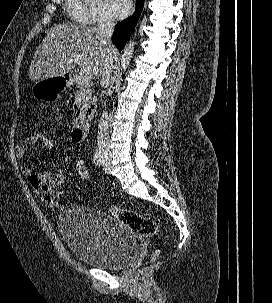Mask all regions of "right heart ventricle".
I'll return each mask as SVG.
<instances>
[{"label": "right heart ventricle", "mask_w": 272, "mask_h": 303, "mask_svg": "<svg viewBox=\"0 0 272 303\" xmlns=\"http://www.w3.org/2000/svg\"><path fill=\"white\" fill-rule=\"evenodd\" d=\"M66 13L74 23L88 24V11L84 0H66Z\"/></svg>", "instance_id": "1"}]
</instances>
